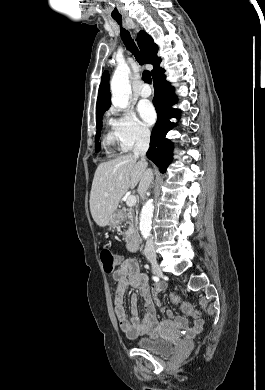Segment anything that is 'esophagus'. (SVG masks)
I'll use <instances>...</instances> for the list:
<instances>
[{
  "mask_svg": "<svg viewBox=\"0 0 265 390\" xmlns=\"http://www.w3.org/2000/svg\"><path fill=\"white\" fill-rule=\"evenodd\" d=\"M134 27H135V31L137 32L138 31V26L134 25Z\"/></svg>",
  "mask_w": 265,
  "mask_h": 390,
  "instance_id": "1",
  "label": "esophagus"
}]
</instances>
